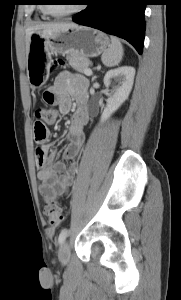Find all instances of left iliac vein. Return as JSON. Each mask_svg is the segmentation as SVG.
<instances>
[{"mask_svg":"<svg viewBox=\"0 0 181 300\" xmlns=\"http://www.w3.org/2000/svg\"><path fill=\"white\" fill-rule=\"evenodd\" d=\"M59 260L63 264H67L70 260V247L68 243H63L59 249Z\"/></svg>","mask_w":181,"mask_h":300,"instance_id":"obj_1","label":"left iliac vein"}]
</instances>
